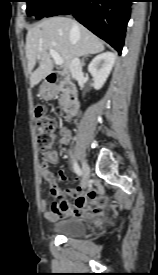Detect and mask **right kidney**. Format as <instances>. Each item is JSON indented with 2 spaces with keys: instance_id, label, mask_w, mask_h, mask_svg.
I'll use <instances>...</instances> for the list:
<instances>
[{
  "instance_id": "right-kidney-1",
  "label": "right kidney",
  "mask_w": 158,
  "mask_h": 275,
  "mask_svg": "<svg viewBox=\"0 0 158 275\" xmlns=\"http://www.w3.org/2000/svg\"><path fill=\"white\" fill-rule=\"evenodd\" d=\"M116 56L112 52H105L97 55L88 65V71L93 77V87L96 90L102 88L106 82L113 65L115 63Z\"/></svg>"
}]
</instances>
